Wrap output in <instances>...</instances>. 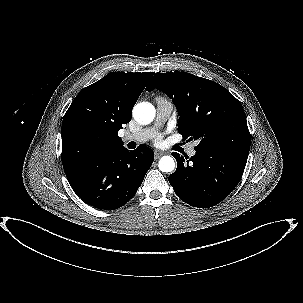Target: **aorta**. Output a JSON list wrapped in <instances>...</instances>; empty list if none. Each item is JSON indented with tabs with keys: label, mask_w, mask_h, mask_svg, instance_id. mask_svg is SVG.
I'll use <instances>...</instances> for the list:
<instances>
[{
	"label": "aorta",
	"mask_w": 303,
	"mask_h": 303,
	"mask_svg": "<svg viewBox=\"0 0 303 303\" xmlns=\"http://www.w3.org/2000/svg\"><path fill=\"white\" fill-rule=\"evenodd\" d=\"M133 117L138 123L147 125L154 120L155 108L148 102L138 103L133 108ZM158 167L162 172H172L175 168V161L171 156H163Z\"/></svg>",
	"instance_id": "obj_1"
}]
</instances>
